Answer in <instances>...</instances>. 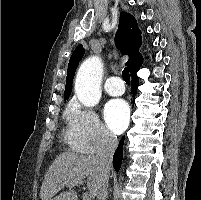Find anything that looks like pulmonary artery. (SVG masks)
<instances>
[{
  "label": "pulmonary artery",
  "mask_w": 201,
  "mask_h": 200,
  "mask_svg": "<svg viewBox=\"0 0 201 200\" xmlns=\"http://www.w3.org/2000/svg\"><path fill=\"white\" fill-rule=\"evenodd\" d=\"M125 86L122 79L118 76H111L105 84V91L111 96H119L124 93Z\"/></svg>",
  "instance_id": "1"
}]
</instances>
